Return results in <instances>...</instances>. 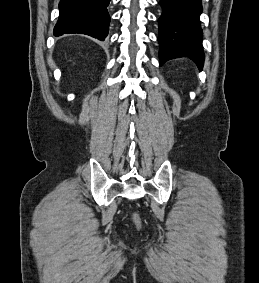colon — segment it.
Listing matches in <instances>:
<instances>
[{
  "instance_id": "obj_1",
  "label": "colon",
  "mask_w": 259,
  "mask_h": 283,
  "mask_svg": "<svg viewBox=\"0 0 259 283\" xmlns=\"http://www.w3.org/2000/svg\"><path fill=\"white\" fill-rule=\"evenodd\" d=\"M133 220L136 222V223H139V217L137 214H134L133 215Z\"/></svg>"
}]
</instances>
